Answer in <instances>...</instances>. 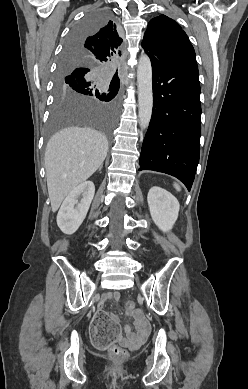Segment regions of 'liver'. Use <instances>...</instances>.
Listing matches in <instances>:
<instances>
[{"instance_id": "6515ba94", "label": "liver", "mask_w": 248, "mask_h": 389, "mask_svg": "<svg viewBox=\"0 0 248 389\" xmlns=\"http://www.w3.org/2000/svg\"><path fill=\"white\" fill-rule=\"evenodd\" d=\"M108 140L92 128L69 127L54 134L45 151V169L52 211L102 165Z\"/></svg>"}]
</instances>
